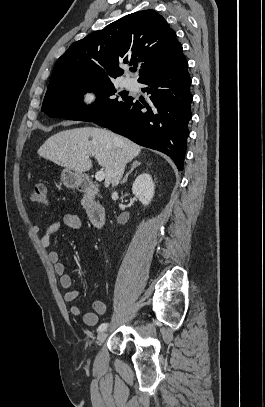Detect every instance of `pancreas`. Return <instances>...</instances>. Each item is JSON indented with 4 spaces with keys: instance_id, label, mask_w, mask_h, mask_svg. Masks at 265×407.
Masks as SVG:
<instances>
[{
    "instance_id": "pancreas-1",
    "label": "pancreas",
    "mask_w": 265,
    "mask_h": 407,
    "mask_svg": "<svg viewBox=\"0 0 265 407\" xmlns=\"http://www.w3.org/2000/svg\"><path fill=\"white\" fill-rule=\"evenodd\" d=\"M81 204L85 207V199L82 200Z\"/></svg>"
}]
</instances>
